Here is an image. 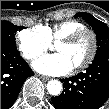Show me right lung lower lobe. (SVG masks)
I'll return each instance as SVG.
<instances>
[{"label": "right lung lower lobe", "instance_id": "obj_1", "mask_svg": "<svg viewBox=\"0 0 109 109\" xmlns=\"http://www.w3.org/2000/svg\"><path fill=\"white\" fill-rule=\"evenodd\" d=\"M34 75L17 50L1 48V109L16 100L24 81Z\"/></svg>", "mask_w": 109, "mask_h": 109}]
</instances>
